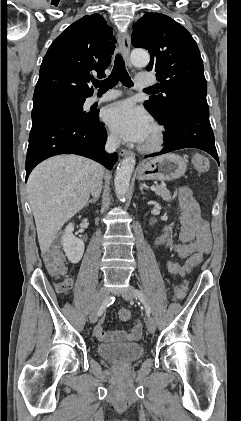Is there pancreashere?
Instances as JSON below:
<instances>
[{
	"label": "pancreas",
	"mask_w": 241,
	"mask_h": 421,
	"mask_svg": "<svg viewBox=\"0 0 241 421\" xmlns=\"http://www.w3.org/2000/svg\"><path fill=\"white\" fill-rule=\"evenodd\" d=\"M156 190L154 191L156 195L160 196L162 199L166 201H171L172 196L170 191L163 185H156Z\"/></svg>",
	"instance_id": "1"
}]
</instances>
